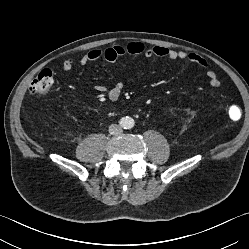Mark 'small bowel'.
<instances>
[{"label": "small bowel", "instance_id": "small-bowel-1", "mask_svg": "<svg viewBox=\"0 0 249 249\" xmlns=\"http://www.w3.org/2000/svg\"><path fill=\"white\" fill-rule=\"evenodd\" d=\"M125 55L132 58L145 57L167 59L172 66H174L181 60H187L200 66L201 68H208L206 60L197 53L176 50L164 46H153L151 48H146L144 44L139 42H133L126 46H112L104 50L98 48L91 49L80 58L79 63L81 65H87L99 59H103L109 64H115L119 60V58ZM74 64L75 60L73 58L65 59L62 62L63 71H70L74 67ZM120 71V68L115 69V74L119 73ZM207 78L209 84L212 87L217 88L220 86V79L215 72L208 71ZM123 88V83L118 80L114 81L111 87H107L104 85L95 86V90L99 93L105 94L110 101L119 100L122 95Z\"/></svg>", "mask_w": 249, "mask_h": 249}]
</instances>
